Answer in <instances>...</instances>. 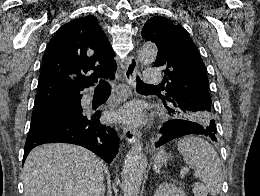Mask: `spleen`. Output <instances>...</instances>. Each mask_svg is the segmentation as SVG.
<instances>
[{"label": "spleen", "mask_w": 260, "mask_h": 196, "mask_svg": "<svg viewBox=\"0 0 260 196\" xmlns=\"http://www.w3.org/2000/svg\"><path fill=\"white\" fill-rule=\"evenodd\" d=\"M177 150L182 154L185 164L194 170L195 178H199L205 184L210 196H218L224 178L220 158L215 148L202 138L186 136L177 142ZM165 158L164 150L156 156L154 162L156 174H160Z\"/></svg>", "instance_id": "obj_1"}]
</instances>
